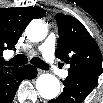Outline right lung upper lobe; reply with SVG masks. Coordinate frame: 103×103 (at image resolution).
<instances>
[{"instance_id":"cb5924a9","label":"right lung upper lobe","mask_w":103,"mask_h":103,"mask_svg":"<svg viewBox=\"0 0 103 103\" xmlns=\"http://www.w3.org/2000/svg\"><path fill=\"white\" fill-rule=\"evenodd\" d=\"M44 14L45 10L39 7L0 8V56L3 50L14 48L32 19L41 18ZM14 70L0 64V76Z\"/></svg>"}]
</instances>
